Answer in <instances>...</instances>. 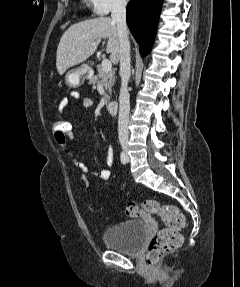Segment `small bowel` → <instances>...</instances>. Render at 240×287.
<instances>
[{"mask_svg":"<svg viewBox=\"0 0 240 287\" xmlns=\"http://www.w3.org/2000/svg\"><path fill=\"white\" fill-rule=\"evenodd\" d=\"M70 98L74 102L79 103L84 110H88L93 106L92 99L87 98V97L82 98L80 96L79 92L76 90L70 91ZM68 102H69V100L67 97H62L60 102H59V109L61 111H64L68 105ZM73 137H74V130L72 127L70 135L66 140L62 141V140L55 139V141L61 147V149L66 152L68 158L71 160L73 165L75 167H77L81 172L91 173V174L97 176L98 178H100L101 180H104V181L109 180L111 177V170L110 169H103V170L98 171V172H91L90 169L86 166V164L74 155V153L69 148V141L72 140ZM106 163L109 167H112L114 164L113 150L111 147H109L108 151H107ZM144 216L146 217L147 215L144 214Z\"/></svg>","mask_w":240,"mask_h":287,"instance_id":"obj_1","label":"small bowel"}]
</instances>
